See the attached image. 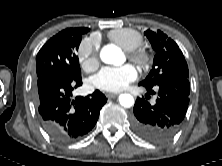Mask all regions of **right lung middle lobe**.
<instances>
[{
    "mask_svg": "<svg viewBox=\"0 0 222 166\" xmlns=\"http://www.w3.org/2000/svg\"><path fill=\"white\" fill-rule=\"evenodd\" d=\"M88 31L80 28H67L50 38L36 57V75L61 70L74 77H81L76 51L82 35Z\"/></svg>",
    "mask_w": 222,
    "mask_h": 166,
    "instance_id": "dd1d6c3e",
    "label": "right lung middle lobe"
}]
</instances>
